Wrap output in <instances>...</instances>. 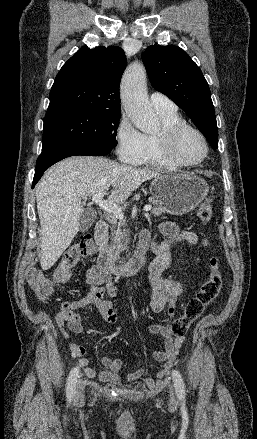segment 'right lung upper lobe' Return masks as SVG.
Wrapping results in <instances>:
<instances>
[{
    "label": "right lung upper lobe",
    "mask_w": 257,
    "mask_h": 439,
    "mask_svg": "<svg viewBox=\"0 0 257 439\" xmlns=\"http://www.w3.org/2000/svg\"><path fill=\"white\" fill-rule=\"evenodd\" d=\"M126 64L120 47L80 48L56 76L46 117L80 109L121 111L119 85Z\"/></svg>",
    "instance_id": "1"
}]
</instances>
